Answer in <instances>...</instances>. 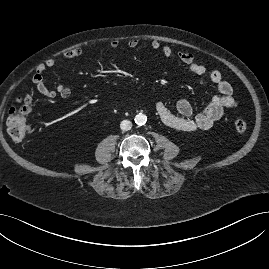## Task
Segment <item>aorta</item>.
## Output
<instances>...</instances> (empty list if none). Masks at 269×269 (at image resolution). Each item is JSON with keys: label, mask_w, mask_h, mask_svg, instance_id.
<instances>
[{"label": "aorta", "mask_w": 269, "mask_h": 269, "mask_svg": "<svg viewBox=\"0 0 269 269\" xmlns=\"http://www.w3.org/2000/svg\"><path fill=\"white\" fill-rule=\"evenodd\" d=\"M147 121V116L145 114L139 113L135 116V123L137 125H144Z\"/></svg>", "instance_id": "aorta-1"}]
</instances>
